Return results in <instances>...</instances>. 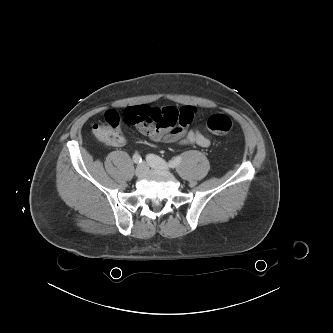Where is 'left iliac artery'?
<instances>
[{"instance_id": "44dca946", "label": "left iliac artery", "mask_w": 333, "mask_h": 333, "mask_svg": "<svg viewBox=\"0 0 333 333\" xmlns=\"http://www.w3.org/2000/svg\"><path fill=\"white\" fill-rule=\"evenodd\" d=\"M181 161H182L181 156H176V157H174L173 160L169 161V166L171 168H175L176 166H178L181 163Z\"/></svg>"}]
</instances>
